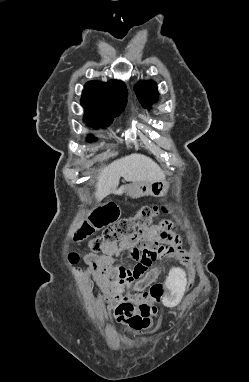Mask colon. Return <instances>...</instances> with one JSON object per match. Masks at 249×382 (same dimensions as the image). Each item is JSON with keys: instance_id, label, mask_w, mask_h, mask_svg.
<instances>
[{"instance_id": "obj_1", "label": "colon", "mask_w": 249, "mask_h": 382, "mask_svg": "<svg viewBox=\"0 0 249 382\" xmlns=\"http://www.w3.org/2000/svg\"><path fill=\"white\" fill-rule=\"evenodd\" d=\"M168 210L169 208L166 206H145L139 209L132 217L116 222L119 214L118 208L114 203H108L90 213L87 218L82 219L74 229L73 236L75 239L80 240L92 234L95 230L105 227L103 234L93 238L89 244L91 250L99 251L109 244L123 240H135L138 231L148 228L157 215ZM139 249L143 251L142 257L139 262H135V264L127 270V274L135 279L141 278L143 282H153L156 277V272L154 270L148 272L149 267L156 260L171 252L165 251L159 246H157V248ZM173 253L175 257L182 262L189 260V255L183 249H178ZM78 258V255L75 253L69 255L71 264H75ZM165 294L166 291L163 284L154 283L151 286L150 296L153 299L157 298L160 301ZM152 312L156 314V309Z\"/></svg>"}]
</instances>
